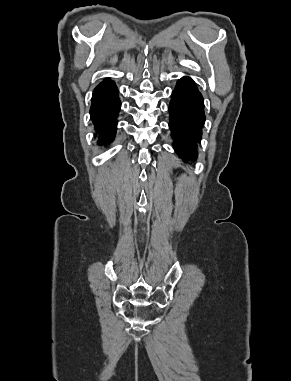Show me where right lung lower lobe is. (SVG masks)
Wrapping results in <instances>:
<instances>
[{"label":"right lung lower lobe","instance_id":"obj_1","mask_svg":"<svg viewBox=\"0 0 291 381\" xmlns=\"http://www.w3.org/2000/svg\"><path fill=\"white\" fill-rule=\"evenodd\" d=\"M120 107L117 86L113 81L105 79L94 89L90 108L91 119L99 133V144H107L113 140Z\"/></svg>","mask_w":291,"mask_h":381}]
</instances>
